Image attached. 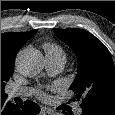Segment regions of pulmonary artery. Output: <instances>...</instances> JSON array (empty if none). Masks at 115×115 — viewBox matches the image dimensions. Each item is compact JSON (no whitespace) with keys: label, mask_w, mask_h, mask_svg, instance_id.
I'll use <instances>...</instances> for the list:
<instances>
[{"label":"pulmonary artery","mask_w":115,"mask_h":115,"mask_svg":"<svg viewBox=\"0 0 115 115\" xmlns=\"http://www.w3.org/2000/svg\"><path fill=\"white\" fill-rule=\"evenodd\" d=\"M65 64V57L61 55H46V67L47 70L52 73H58L60 72ZM29 94V90L27 88H13L9 91L8 96L9 98H15V97H24ZM81 108L77 107L76 112L80 113Z\"/></svg>","instance_id":"1"}]
</instances>
